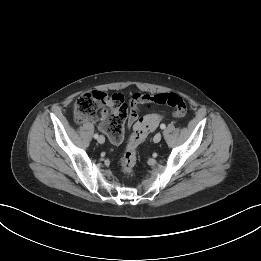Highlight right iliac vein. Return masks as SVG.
Here are the masks:
<instances>
[{
  "label": "right iliac vein",
  "mask_w": 261,
  "mask_h": 261,
  "mask_svg": "<svg viewBox=\"0 0 261 261\" xmlns=\"http://www.w3.org/2000/svg\"><path fill=\"white\" fill-rule=\"evenodd\" d=\"M97 141L100 143V144H103L105 142V137L103 135H100L98 138H97Z\"/></svg>",
  "instance_id": "63e3f726"
}]
</instances>
